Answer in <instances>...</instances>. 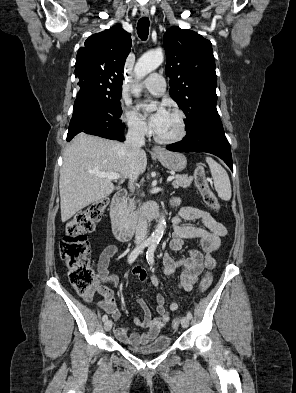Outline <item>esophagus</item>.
Instances as JSON below:
<instances>
[{"label": "esophagus", "mask_w": 296, "mask_h": 393, "mask_svg": "<svg viewBox=\"0 0 296 393\" xmlns=\"http://www.w3.org/2000/svg\"><path fill=\"white\" fill-rule=\"evenodd\" d=\"M141 15L146 17V16L149 15V11L148 10H141ZM153 151L155 153H160L162 151V149L160 147H158V146H155V147H153Z\"/></svg>", "instance_id": "obj_1"}]
</instances>
